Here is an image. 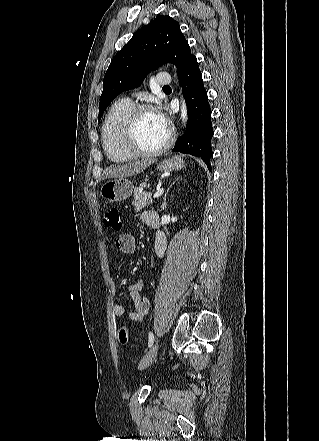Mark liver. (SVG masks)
Wrapping results in <instances>:
<instances>
[{
  "mask_svg": "<svg viewBox=\"0 0 319 441\" xmlns=\"http://www.w3.org/2000/svg\"><path fill=\"white\" fill-rule=\"evenodd\" d=\"M155 159H142L141 161L127 162L110 166L103 172V178H124L134 176L153 164Z\"/></svg>",
  "mask_w": 319,
  "mask_h": 441,
  "instance_id": "1",
  "label": "liver"
}]
</instances>
